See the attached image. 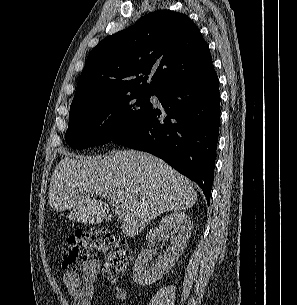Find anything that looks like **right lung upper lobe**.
Masks as SVG:
<instances>
[{"label": "right lung upper lobe", "instance_id": "cb5924a9", "mask_svg": "<svg viewBox=\"0 0 297 305\" xmlns=\"http://www.w3.org/2000/svg\"><path fill=\"white\" fill-rule=\"evenodd\" d=\"M213 70L208 45L190 18L170 10L155 11L93 48L71 107L130 91L157 93Z\"/></svg>", "mask_w": 297, "mask_h": 305}]
</instances>
